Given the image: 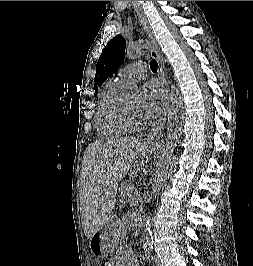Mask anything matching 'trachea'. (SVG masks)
<instances>
[{"label":"trachea","mask_w":253,"mask_h":266,"mask_svg":"<svg viewBox=\"0 0 253 266\" xmlns=\"http://www.w3.org/2000/svg\"><path fill=\"white\" fill-rule=\"evenodd\" d=\"M157 62H156V60H151V62H150V68H151V70L153 71V72H157Z\"/></svg>","instance_id":"1"}]
</instances>
